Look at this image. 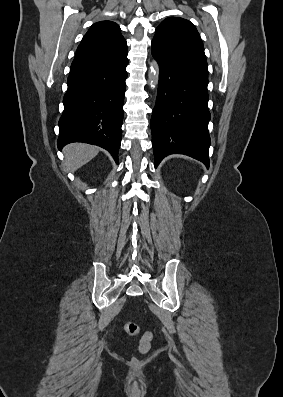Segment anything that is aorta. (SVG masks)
<instances>
[{"label":"aorta","instance_id":"aorta-1","mask_svg":"<svg viewBox=\"0 0 283 397\" xmlns=\"http://www.w3.org/2000/svg\"><path fill=\"white\" fill-rule=\"evenodd\" d=\"M159 82V65L153 60L150 66V70L148 72V83L152 88L157 87Z\"/></svg>","mask_w":283,"mask_h":397}]
</instances>
